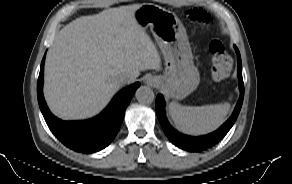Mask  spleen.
I'll list each match as a JSON object with an SVG mask.
<instances>
[{"label":"spleen","instance_id":"obj_1","mask_svg":"<svg viewBox=\"0 0 292 184\" xmlns=\"http://www.w3.org/2000/svg\"><path fill=\"white\" fill-rule=\"evenodd\" d=\"M227 106L181 107L169 105V113L178 130L189 135H203L216 130L224 121Z\"/></svg>","mask_w":292,"mask_h":184}]
</instances>
